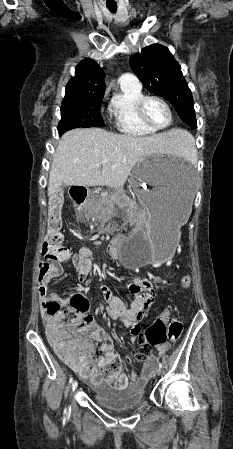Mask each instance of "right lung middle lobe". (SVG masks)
Returning <instances> with one entry per match:
<instances>
[{
	"label": "right lung middle lobe",
	"instance_id": "obj_1",
	"mask_svg": "<svg viewBox=\"0 0 233 449\" xmlns=\"http://www.w3.org/2000/svg\"><path fill=\"white\" fill-rule=\"evenodd\" d=\"M103 96L104 93L65 97L61 106L59 134L77 127L104 126L100 114Z\"/></svg>",
	"mask_w": 233,
	"mask_h": 449
}]
</instances>
